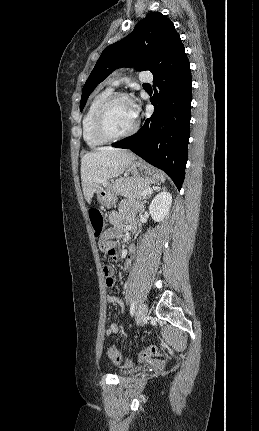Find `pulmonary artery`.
<instances>
[{
	"instance_id": "1",
	"label": "pulmonary artery",
	"mask_w": 259,
	"mask_h": 431,
	"mask_svg": "<svg viewBox=\"0 0 259 431\" xmlns=\"http://www.w3.org/2000/svg\"><path fill=\"white\" fill-rule=\"evenodd\" d=\"M139 80L141 82H150V81H152V75L148 72H143L140 74ZM118 84H119V81H112L111 82L112 86H117Z\"/></svg>"
}]
</instances>
